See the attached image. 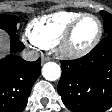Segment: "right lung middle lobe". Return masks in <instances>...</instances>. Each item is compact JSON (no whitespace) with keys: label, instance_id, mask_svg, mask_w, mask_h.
I'll list each match as a JSON object with an SVG mask.
<instances>
[{"label":"right lung middle lobe","instance_id":"1","mask_svg":"<svg viewBox=\"0 0 112 112\" xmlns=\"http://www.w3.org/2000/svg\"><path fill=\"white\" fill-rule=\"evenodd\" d=\"M19 21V18L14 15H0V28L5 30L10 37L18 38L16 25Z\"/></svg>","mask_w":112,"mask_h":112}]
</instances>
